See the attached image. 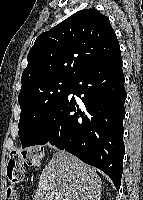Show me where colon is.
Masks as SVG:
<instances>
[{"label":"colon","mask_w":143,"mask_h":200,"mask_svg":"<svg viewBox=\"0 0 143 200\" xmlns=\"http://www.w3.org/2000/svg\"><path fill=\"white\" fill-rule=\"evenodd\" d=\"M43 156L44 151L39 147H28L21 150H15L10 153L6 166L8 200H16L17 185L22 182L25 177V167H40Z\"/></svg>","instance_id":"colon-1"}]
</instances>
